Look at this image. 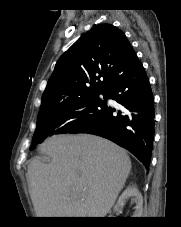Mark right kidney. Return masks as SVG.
I'll return each instance as SVG.
<instances>
[{"label":"right kidney","instance_id":"right-kidney-1","mask_svg":"<svg viewBox=\"0 0 181 227\" xmlns=\"http://www.w3.org/2000/svg\"><path fill=\"white\" fill-rule=\"evenodd\" d=\"M131 198V201L135 203V211L132 217H141L143 213V197L135 185L128 186L124 192L120 195L115 209H119L124 206L126 200Z\"/></svg>","mask_w":181,"mask_h":227}]
</instances>
